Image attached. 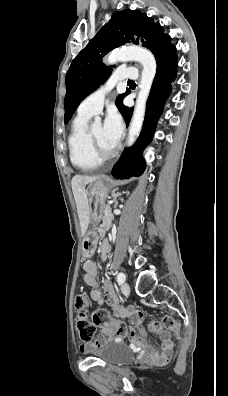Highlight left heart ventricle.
Returning <instances> with one entry per match:
<instances>
[{"label": "left heart ventricle", "instance_id": "1", "mask_svg": "<svg viewBox=\"0 0 228 396\" xmlns=\"http://www.w3.org/2000/svg\"><path fill=\"white\" fill-rule=\"evenodd\" d=\"M92 132L99 143L100 147L104 151H112L115 148V145H113L106 137L105 131H104V126L99 124L95 126L92 129Z\"/></svg>", "mask_w": 228, "mask_h": 396}]
</instances>
